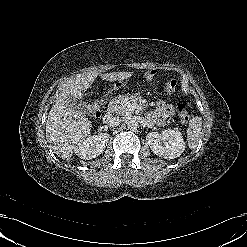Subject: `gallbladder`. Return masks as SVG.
<instances>
[{
  "instance_id": "bac80fb5",
  "label": "gallbladder",
  "mask_w": 247,
  "mask_h": 247,
  "mask_svg": "<svg viewBox=\"0 0 247 247\" xmlns=\"http://www.w3.org/2000/svg\"><path fill=\"white\" fill-rule=\"evenodd\" d=\"M69 104L72 105L76 110H79L83 113H87L89 110V106L85 103L79 102L74 96L70 95L68 97Z\"/></svg>"
}]
</instances>
